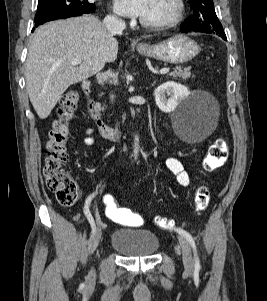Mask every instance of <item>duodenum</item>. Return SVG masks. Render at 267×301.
<instances>
[{"mask_svg": "<svg viewBox=\"0 0 267 301\" xmlns=\"http://www.w3.org/2000/svg\"><path fill=\"white\" fill-rule=\"evenodd\" d=\"M91 89H92V84L90 81L85 80L82 82V92L84 96L85 108L88 111L94 123L96 124L99 133L106 138H111V139L122 138L125 135L124 130L117 127H112L102 119L96 107V103L91 97Z\"/></svg>", "mask_w": 267, "mask_h": 301, "instance_id": "410a0bca", "label": "duodenum"}]
</instances>
